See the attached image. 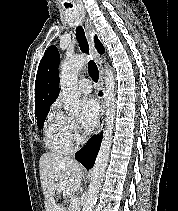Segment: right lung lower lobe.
<instances>
[{"instance_id":"right-lung-lower-lobe-1","label":"right lung lower lobe","mask_w":178,"mask_h":211,"mask_svg":"<svg viewBox=\"0 0 178 211\" xmlns=\"http://www.w3.org/2000/svg\"><path fill=\"white\" fill-rule=\"evenodd\" d=\"M101 141L102 135L95 136V138L90 140L85 147L75 154L76 160L82 163L87 169L92 168L95 163Z\"/></svg>"}]
</instances>
